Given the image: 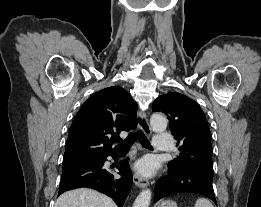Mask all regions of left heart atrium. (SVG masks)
I'll list each match as a JSON object with an SVG mask.
<instances>
[{
    "mask_svg": "<svg viewBox=\"0 0 261 207\" xmlns=\"http://www.w3.org/2000/svg\"><path fill=\"white\" fill-rule=\"evenodd\" d=\"M136 171L143 176H151L156 169L155 161L150 157H145L135 165Z\"/></svg>",
    "mask_w": 261,
    "mask_h": 207,
    "instance_id": "39dd6f15",
    "label": "left heart atrium"
}]
</instances>
